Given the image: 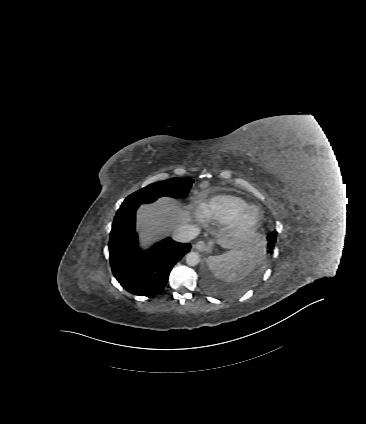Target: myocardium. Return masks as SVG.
Masks as SVG:
<instances>
[{"label":"myocardium","instance_id":"obj_1","mask_svg":"<svg viewBox=\"0 0 366 424\" xmlns=\"http://www.w3.org/2000/svg\"><path fill=\"white\" fill-rule=\"evenodd\" d=\"M252 213V217L249 218V214ZM260 220V213L254 206H246L235 218L231 225V233L234 236H243L251 233Z\"/></svg>","mask_w":366,"mask_h":424}]
</instances>
